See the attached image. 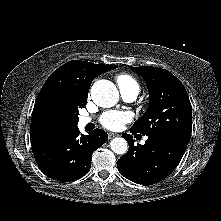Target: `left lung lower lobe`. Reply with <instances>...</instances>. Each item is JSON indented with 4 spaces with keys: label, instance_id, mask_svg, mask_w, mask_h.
I'll return each mask as SVG.
<instances>
[{
    "label": "left lung lower lobe",
    "instance_id": "obj_1",
    "mask_svg": "<svg viewBox=\"0 0 221 221\" xmlns=\"http://www.w3.org/2000/svg\"><path fill=\"white\" fill-rule=\"evenodd\" d=\"M122 137L129 143V150L118 160V170L128 180L143 185L157 183L169 175L186 149L181 144L158 136H148L144 145L137 146L132 135L123 134Z\"/></svg>",
    "mask_w": 221,
    "mask_h": 221
}]
</instances>
